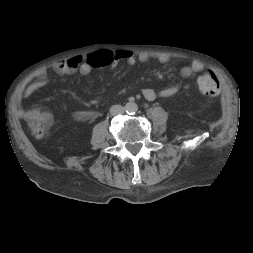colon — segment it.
<instances>
[{"label":"colon","instance_id":"obj_1","mask_svg":"<svg viewBox=\"0 0 253 253\" xmlns=\"http://www.w3.org/2000/svg\"><path fill=\"white\" fill-rule=\"evenodd\" d=\"M197 88L203 94L209 96H217L220 93V85L216 76L212 72H206L200 75L196 81ZM46 129L41 126H38L34 129V135L41 139L45 136Z\"/></svg>","mask_w":253,"mask_h":253}]
</instances>
